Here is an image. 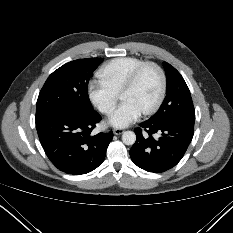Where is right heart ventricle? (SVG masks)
I'll list each match as a JSON object with an SVG mask.
<instances>
[{
  "label": "right heart ventricle",
  "instance_id": "1",
  "mask_svg": "<svg viewBox=\"0 0 233 233\" xmlns=\"http://www.w3.org/2000/svg\"><path fill=\"white\" fill-rule=\"evenodd\" d=\"M143 63L142 59L136 57L114 58L97 71V76L118 93L122 90L132 72Z\"/></svg>",
  "mask_w": 233,
  "mask_h": 233
}]
</instances>
